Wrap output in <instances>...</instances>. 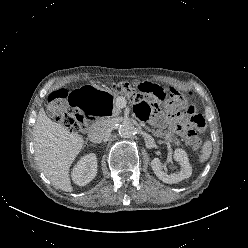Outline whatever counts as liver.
<instances>
[{
	"instance_id": "1",
	"label": "liver",
	"mask_w": 248,
	"mask_h": 248,
	"mask_svg": "<svg viewBox=\"0 0 248 248\" xmlns=\"http://www.w3.org/2000/svg\"><path fill=\"white\" fill-rule=\"evenodd\" d=\"M33 142L39 169L57 188L71 192L69 169L83 148V137L53 122L41 108L33 129Z\"/></svg>"
}]
</instances>
